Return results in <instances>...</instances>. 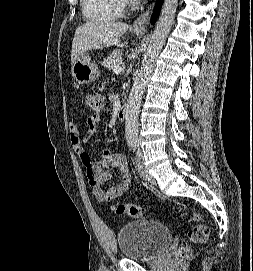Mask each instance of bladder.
Listing matches in <instances>:
<instances>
[{
    "label": "bladder",
    "mask_w": 253,
    "mask_h": 271,
    "mask_svg": "<svg viewBox=\"0 0 253 271\" xmlns=\"http://www.w3.org/2000/svg\"><path fill=\"white\" fill-rule=\"evenodd\" d=\"M121 255L136 261L158 258L172 240L171 229L156 220L142 219L129 222L117 232Z\"/></svg>",
    "instance_id": "1"
}]
</instances>
